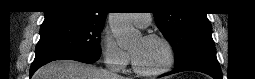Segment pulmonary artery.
I'll list each match as a JSON object with an SVG mask.
<instances>
[{"mask_svg": "<svg viewBox=\"0 0 255 79\" xmlns=\"http://www.w3.org/2000/svg\"><path fill=\"white\" fill-rule=\"evenodd\" d=\"M132 22L140 27H147L151 23V14H132Z\"/></svg>", "mask_w": 255, "mask_h": 79, "instance_id": "obj_1", "label": "pulmonary artery"}]
</instances>
